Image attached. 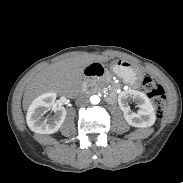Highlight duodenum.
Segmentation results:
<instances>
[{
    "label": "duodenum",
    "mask_w": 183,
    "mask_h": 183,
    "mask_svg": "<svg viewBox=\"0 0 183 183\" xmlns=\"http://www.w3.org/2000/svg\"><path fill=\"white\" fill-rule=\"evenodd\" d=\"M105 74L103 67L99 63H91L84 70V75L88 79H95L102 77ZM109 99H113V96H109Z\"/></svg>",
    "instance_id": "410a0bca"
}]
</instances>
